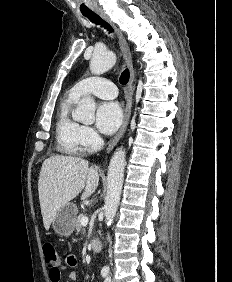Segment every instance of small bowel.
Here are the masks:
<instances>
[{
  "label": "small bowel",
  "instance_id": "small-bowel-1",
  "mask_svg": "<svg viewBox=\"0 0 232 282\" xmlns=\"http://www.w3.org/2000/svg\"><path fill=\"white\" fill-rule=\"evenodd\" d=\"M78 261L76 256L70 254L66 257V260L63 264L59 265L58 270L56 272L50 271L49 278L51 282H61V273L64 270L71 269V272L68 275V279L72 282L77 281L78 274L74 270L77 267Z\"/></svg>",
  "mask_w": 232,
  "mask_h": 282
}]
</instances>
